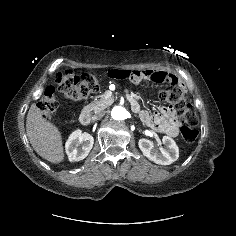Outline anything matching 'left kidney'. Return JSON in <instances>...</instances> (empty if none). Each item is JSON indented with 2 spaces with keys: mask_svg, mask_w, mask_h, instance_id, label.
I'll list each match as a JSON object with an SVG mask.
<instances>
[{
  "mask_svg": "<svg viewBox=\"0 0 236 236\" xmlns=\"http://www.w3.org/2000/svg\"><path fill=\"white\" fill-rule=\"evenodd\" d=\"M162 142L166 149L160 148V151L154 149L153 142L145 138L140 139L138 145L143 155L149 160L156 164L170 165L178 159L179 148L175 141L168 136H163Z\"/></svg>",
  "mask_w": 236,
  "mask_h": 236,
  "instance_id": "left-kidney-1",
  "label": "left kidney"
}]
</instances>
